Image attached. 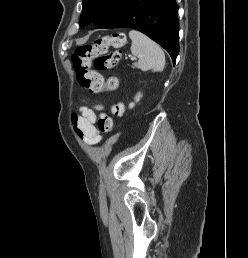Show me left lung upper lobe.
<instances>
[{"mask_svg": "<svg viewBox=\"0 0 248 258\" xmlns=\"http://www.w3.org/2000/svg\"><path fill=\"white\" fill-rule=\"evenodd\" d=\"M129 0H83L80 25L88 24L91 21L97 27L106 24L111 20ZM99 5H104L106 9L95 10Z\"/></svg>", "mask_w": 248, "mask_h": 258, "instance_id": "1", "label": "left lung upper lobe"}]
</instances>
